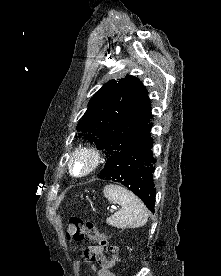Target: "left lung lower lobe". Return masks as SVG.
Masks as SVG:
<instances>
[{
    "label": "left lung lower lobe",
    "mask_w": 221,
    "mask_h": 276,
    "mask_svg": "<svg viewBox=\"0 0 221 276\" xmlns=\"http://www.w3.org/2000/svg\"><path fill=\"white\" fill-rule=\"evenodd\" d=\"M152 123H148L137 139L127 148L114 153L105 163L100 179L111 180L126 186L154 212L155 184L151 137Z\"/></svg>",
    "instance_id": "1"
}]
</instances>
